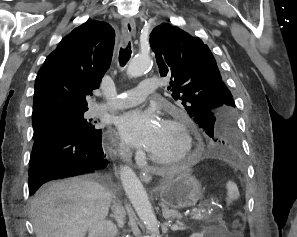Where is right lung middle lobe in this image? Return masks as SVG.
Listing matches in <instances>:
<instances>
[{"label":"right lung middle lobe","instance_id":"1","mask_svg":"<svg viewBox=\"0 0 297 237\" xmlns=\"http://www.w3.org/2000/svg\"><path fill=\"white\" fill-rule=\"evenodd\" d=\"M32 121L34 136L42 129L53 124H62L76 134L87 138H93L101 131V129H95L92 123L84 119V112L59 111Z\"/></svg>","mask_w":297,"mask_h":237}]
</instances>
